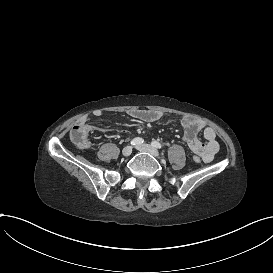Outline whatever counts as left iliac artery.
<instances>
[{"mask_svg":"<svg viewBox=\"0 0 273 273\" xmlns=\"http://www.w3.org/2000/svg\"><path fill=\"white\" fill-rule=\"evenodd\" d=\"M151 144L155 148L162 149V145L159 142H157V141H153Z\"/></svg>","mask_w":273,"mask_h":273,"instance_id":"obj_1","label":"left iliac artery"}]
</instances>
